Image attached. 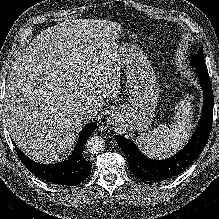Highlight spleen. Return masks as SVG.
<instances>
[{
    "instance_id": "spleen-1",
    "label": "spleen",
    "mask_w": 219,
    "mask_h": 219,
    "mask_svg": "<svg viewBox=\"0 0 219 219\" xmlns=\"http://www.w3.org/2000/svg\"><path fill=\"white\" fill-rule=\"evenodd\" d=\"M186 98H191L189 95ZM192 106L180 100L175 107L174 122L161 124L148 133H141L136 143L149 157L165 158L183 147L192 127Z\"/></svg>"
}]
</instances>
